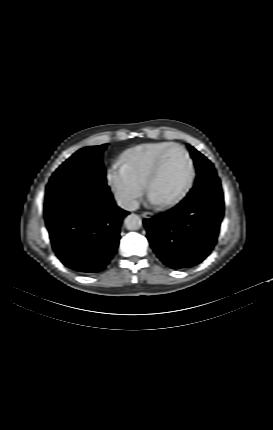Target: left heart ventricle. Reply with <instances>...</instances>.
I'll use <instances>...</instances> for the list:
<instances>
[{
  "instance_id": "obj_1",
  "label": "left heart ventricle",
  "mask_w": 273,
  "mask_h": 430,
  "mask_svg": "<svg viewBox=\"0 0 273 430\" xmlns=\"http://www.w3.org/2000/svg\"><path fill=\"white\" fill-rule=\"evenodd\" d=\"M187 175L185 155L179 149H172L163 160L161 171L151 186L150 196L157 202L172 198L183 186Z\"/></svg>"
}]
</instances>
